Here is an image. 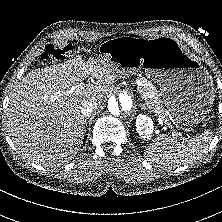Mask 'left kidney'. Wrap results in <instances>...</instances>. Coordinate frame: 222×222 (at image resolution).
<instances>
[{
  "label": "left kidney",
  "mask_w": 222,
  "mask_h": 222,
  "mask_svg": "<svg viewBox=\"0 0 222 222\" xmlns=\"http://www.w3.org/2000/svg\"><path fill=\"white\" fill-rule=\"evenodd\" d=\"M153 121L146 115L139 114L136 118V130L143 139H150L153 133Z\"/></svg>",
  "instance_id": "obj_1"
}]
</instances>
